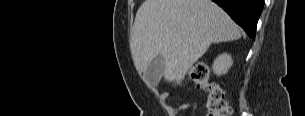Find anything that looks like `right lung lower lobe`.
<instances>
[{
	"label": "right lung lower lobe",
	"instance_id": "1",
	"mask_svg": "<svg viewBox=\"0 0 305 116\" xmlns=\"http://www.w3.org/2000/svg\"><path fill=\"white\" fill-rule=\"evenodd\" d=\"M222 7L245 32L255 39L259 16L264 0H212Z\"/></svg>",
	"mask_w": 305,
	"mask_h": 116
}]
</instances>
